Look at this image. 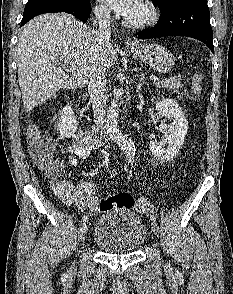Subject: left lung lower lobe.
<instances>
[{"instance_id": "1", "label": "left lung lower lobe", "mask_w": 233, "mask_h": 294, "mask_svg": "<svg viewBox=\"0 0 233 294\" xmlns=\"http://www.w3.org/2000/svg\"><path fill=\"white\" fill-rule=\"evenodd\" d=\"M159 9L161 15L157 24L140 31L138 39L187 36L202 41L214 53L207 0H172Z\"/></svg>"}]
</instances>
